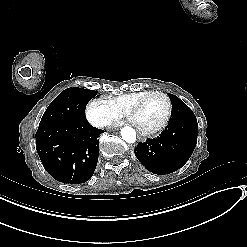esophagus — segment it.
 I'll return each mask as SVG.
<instances>
[{"instance_id":"1","label":"esophagus","mask_w":247,"mask_h":247,"mask_svg":"<svg viewBox=\"0 0 247 247\" xmlns=\"http://www.w3.org/2000/svg\"><path fill=\"white\" fill-rule=\"evenodd\" d=\"M138 140L143 143L146 141V138L142 136H138Z\"/></svg>"}]
</instances>
